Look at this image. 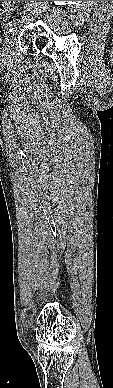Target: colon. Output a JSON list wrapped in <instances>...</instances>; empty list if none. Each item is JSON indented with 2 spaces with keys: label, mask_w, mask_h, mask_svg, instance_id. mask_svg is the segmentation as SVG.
<instances>
[{
  "label": "colon",
  "mask_w": 113,
  "mask_h": 388,
  "mask_svg": "<svg viewBox=\"0 0 113 388\" xmlns=\"http://www.w3.org/2000/svg\"><path fill=\"white\" fill-rule=\"evenodd\" d=\"M15 1H0V13L8 14L12 11Z\"/></svg>",
  "instance_id": "1"
}]
</instances>
